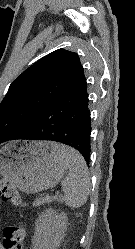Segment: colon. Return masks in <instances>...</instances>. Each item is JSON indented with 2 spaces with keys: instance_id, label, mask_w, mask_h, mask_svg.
<instances>
[{
  "instance_id": "obj_1",
  "label": "colon",
  "mask_w": 135,
  "mask_h": 249,
  "mask_svg": "<svg viewBox=\"0 0 135 249\" xmlns=\"http://www.w3.org/2000/svg\"><path fill=\"white\" fill-rule=\"evenodd\" d=\"M0 197L16 206H22V200L16 188L7 181L0 179ZM27 229L25 226H8L2 234L3 249H23Z\"/></svg>"
}]
</instances>
